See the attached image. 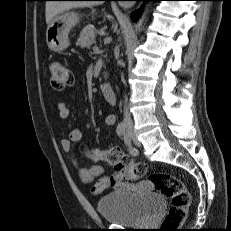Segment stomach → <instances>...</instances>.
<instances>
[{"label":"stomach","instance_id":"stomach-1","mask_svg":"<svg viewBox=\"0 0 231 231\" xmlns=\"http://www.w3.org/2000/svg\"><path fill=\"white\" fill-rule=\"evenodd\" d=\"M79 22L80 16L74 11H63L57 15L46 30L48 48L54 52L65 50L70 45L69 32Z\"/></svg>","mask_w":231,"mask_h":231}]
</instances>
